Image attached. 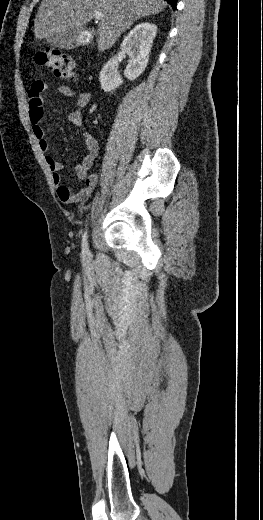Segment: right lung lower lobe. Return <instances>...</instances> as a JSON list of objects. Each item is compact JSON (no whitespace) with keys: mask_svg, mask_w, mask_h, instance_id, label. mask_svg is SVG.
Returning a JSON list of instances; mask_svg holds the SVG:
<instances>
[{"mask_svg":"<svg viewBox=\"0 0 263 520\" xmlns=\"http://www.w3.org/2000/svg\"><path fill=\"white\" fill-rule=\"evenodd\" d=\"M167 2H169L173 8V10L176 9V5H177V0H166Z\"/></svg>","mask_w":263,"mask_h":520,"instance_id":"right-lung-lower-lobe-1","label":"right lung lower lobe"}]
</instances>
